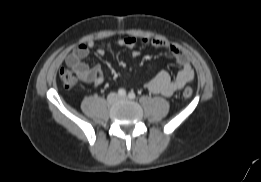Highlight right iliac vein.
<instances>
[{
    "instance_id": "63e3f726",
    "label": "right iliac vein",
    "mask_w": 261,
    "mask_h": 182,
    "mask_svg": "<svg viewBox=\"0 0 261 182\" xmlns=\"http://www.w3.org/2000/svg\"><path fill=\"white\" fill-rule=\"evenodd\" d=\"M117 99H118V97H117V95H115V94H110L109 96H108V102L110 103V104H113V103H115L116 101H117Z\"/></svg>"
}]
</instances>
